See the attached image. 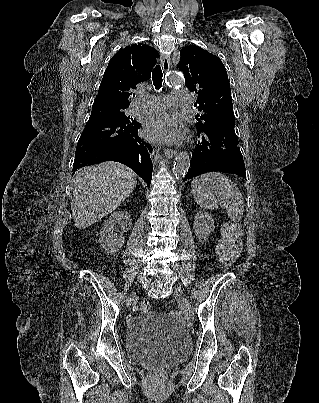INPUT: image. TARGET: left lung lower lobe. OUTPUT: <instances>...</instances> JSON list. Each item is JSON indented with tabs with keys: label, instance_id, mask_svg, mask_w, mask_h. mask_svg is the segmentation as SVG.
Masks as SVG:
<instances>
[{
	"label": "left lung lower lobe",
	"instance_id": "obj_1",
	"mask_svg": "<svg viewBox=\"0 0 319 403\" xmlns=\"http://www.w3.org/2000/svg\"><path fill=\"white\" fill-rule=\"evenodd\" d=\"M197 134L199 142L184 181L211 171L233 173L246 178L234 120L215 122L203 130H197Z\"/></svg>",
	"mask_w": 319,
	"mask_h": 403
}]
</instances>
